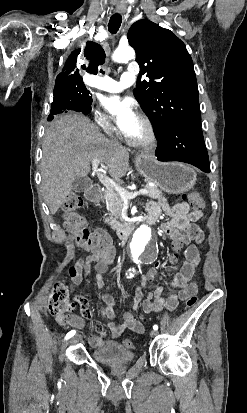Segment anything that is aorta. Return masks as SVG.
<instances>
[{
	"mask_svg": "<svg viewBox=\"0 0 247 413\" xmlns=\"http://www.w3.org/2000/svg\"><path fill=\"white\" fill-rule=\"evenodd\" d=\"M135 55V52L132 47L126 46V47H118L115 52L113 53L112 59L115 62L118 63H126L129 60H131ZM150 236V228L147 226H141L140 229L136 232V237L139 240L140 244H143V242H146V240ZM142 245H139V249L137 252L134 253L135 259H138V256L140 255L142 251Z\"/></svg>",
	"mask_w": 247,
	"mask_h": 413,
	"instance_id": "762f6f07",
	"label": "aorta"
}]
</instances>
